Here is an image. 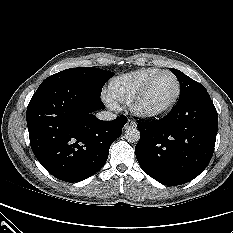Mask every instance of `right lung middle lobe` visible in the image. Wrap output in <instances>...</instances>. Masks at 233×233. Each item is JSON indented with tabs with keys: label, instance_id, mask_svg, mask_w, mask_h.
I'll use <instances>...</instances> for the list:
<instances>
[{
	"label": "right lung middle lobe",
	"instance_id": "obj_1",
	"mask_svg": "<svg viewBox=\"0 0 233 233\" xmlns=\"http://www.w3.org/2000/svg\"><path fill=\"white\" fill-rule=\"evenodd\" d=\"M114 75L113 72L93 67L70 68L47 77L38 87L34 95L60 84H72L101 95L105 82Z\"/></svg>",
	"mask_w": 233,
	"mask_h": 233
}]
</instances>
